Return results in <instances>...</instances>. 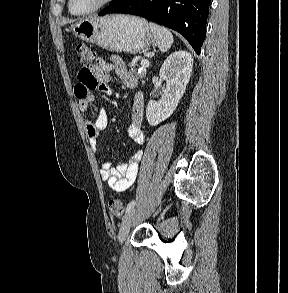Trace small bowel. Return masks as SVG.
Instances as JSON below:
<instances>
[{
  "label": "small bowel",
  "instance_id": "obj_1",
  "mask_svg": "<svg viewBox=\"0 0 288 293\" xmlns=\"http://www.w3.org/2000/svg\"><path fill=\"white\" fill-rule=\"evenodd\" d=\"M112 71L116 73L127 87H137V78L128 70L119 56L112 55L109 59L99 58L90 69L82 68L78 72V83L75 86L74 93L79 100V108L82 113H87L90 105L95 102V96L91 94L92 91L98 90L108 95L113 93L109 86L112 81ZM143 112L144 96L142 92H137L134 97L131 114L132 121L129 126L130 138L137 145H143L146 141L145 134L141 128ZM107 124V115L103 109L97 111L94 119H85L86 134L94 148H97L100 134L106 129ZM142 156V150H137L127 159L116 163L104 162L100 170L101 178L110 188L117 192L127 190L136 179L138 165Z\"/></svg>",
  "mask_w": 288,
  "mask_h": 293
}]
</instances>
